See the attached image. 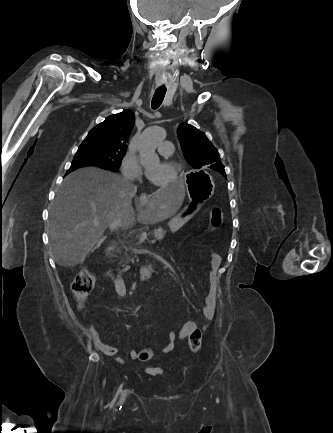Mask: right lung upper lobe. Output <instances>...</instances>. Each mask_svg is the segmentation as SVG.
Returning <instances> with one entry per match:
<instances>
[{"label": "right lung upper lobe", "mask_w": 333, "mask_h": 433, "mask_svg": "<svg viewBox=\"0 0 333 433\" xmlns=\"http://www.w3.org/2000/svg\"><path fill=\"white\" fill-rule=\"evenodd\" d=\"M135 116L131 110L114 114L94 127L83 142L101 147L126 150L128 137L133 129Z\"/></svg>", "instance_id": "cb5924a9"}]
</instances>
